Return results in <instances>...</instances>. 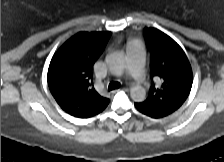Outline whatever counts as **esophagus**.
I'll return each instance as SVG.
<instances>
[{
  "mask_svg": "<svg viewBox=\"0 0 224 162\" xmlns=\"http://www.w3.org/2000/svg\"><path fill=\"white\" fill-rule=\"evenodd\" d=\"M123 90L128 91V88H123ZM117 92V90H114L113 93Z\"/></svg>",
  "mask_w": 224,
  "mask_h": 162,
  "instance_id": "esophagus-1",
  "label": "esophagus"
}]
</instances>
